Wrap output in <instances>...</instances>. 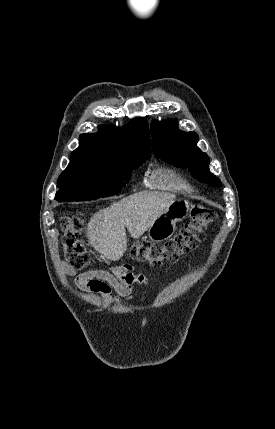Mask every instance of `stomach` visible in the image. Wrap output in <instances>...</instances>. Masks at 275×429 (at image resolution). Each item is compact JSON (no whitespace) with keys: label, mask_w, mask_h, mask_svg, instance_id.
<instances>
[{"label":"stomach","mask_w":275,"mask_h":429,"mask_svg":"<svg viewBox=\"0 0 275 429\" xmlns=\"http://www.w3.org/2000/svg\"><path fill=\"white\" fill-rule=\"evenodd\" d=\"M189 211V203L186 200L174 201L154 221L148 230L150 239L160 242L171 237L176 229V223L182 221Z\"/></svg>","instance_id":"0dacf381"}]
</instances>
